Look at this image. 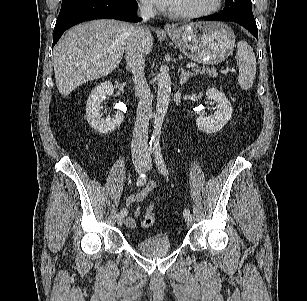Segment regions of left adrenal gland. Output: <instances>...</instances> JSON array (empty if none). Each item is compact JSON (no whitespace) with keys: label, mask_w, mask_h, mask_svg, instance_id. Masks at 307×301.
<instances>
[{"label":"left adrenal gland","mask_w":307,"mask_h":301,"mask_svg":"<svg viewBox=\"0 0 307 301\" xmlns=\"http://www.w3.org/2000/svg\"><path fill=\"white\" fill-rule=\"evenodd\" d=\"M193 75H196L195 73H191L189 71H185L183 68H181V75H180V83L183 85L187 82V80L192 77Z\"/></svg>","instance_id":"left-adrenal-gland-1"}]
</instances>
